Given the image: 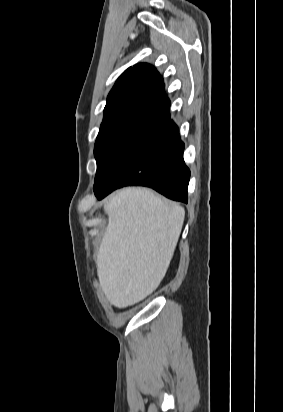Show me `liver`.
Instances as JSON below:
<instances>
[{
    "label": "liver",
    "instance_id": "obj_1",
    "mask_svg": "<svg viewBox=\"0 0 283 412\" xmlns=\"http://www.w3.org/2000/svg\"><path fill=\"white\" fill-rule=\"evenodd\" d=\"M108 224L97 273L108 301L118 308L150 295L163 280L182 230L185 210L150 189L129 187L104 204Z\"/></svg>",
    "mask_w": 283,
    "mask_h": 412
}]
</instances>
